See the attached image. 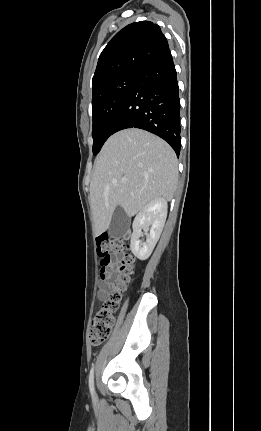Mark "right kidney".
I'll return each mask as SVG.
<instances>
[{"mask_svg": "<svg viewBox=\"0 0 261 431\" xmlns=\"http://www.w3.org/2000/svg\"><path fill=\"white\" fill-rule=\"evenodd\" d=\"M167 208V201L164 198H158L149 202L135 217L130 247L138 259L146 260L151 255L162 233ZM142 230L149 231L145 233V242L140 240L143 236Z\"/></svg>", "mask_w": 261, "mask_h": 431, "instance_id": "obj_1", "label": "right kidney"}]
</instances>
